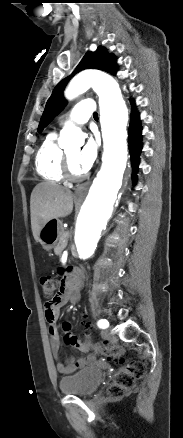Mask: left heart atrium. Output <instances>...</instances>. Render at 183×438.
I'll return each mask as SVG.
<instances>
[{"mask_svg": "<svg viewBox=\"0 0 183 438\" xmlns=\"http://www.w3.org/2000/svg\"><path fill=\"white\" fill-rule=\"evenodd\" d=\"M98 153V141L90 137L77 157V164L83 172H87L96 160Z\"/></svg>", "mask_w": 183, "mask_h": 438, "instance_id": "1", "label": "left heart atrium"}]
</instances>
